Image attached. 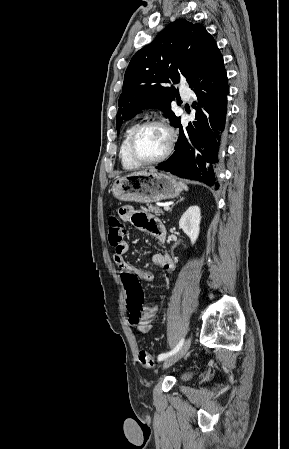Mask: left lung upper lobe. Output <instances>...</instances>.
<instances>
[{
    "mask_svg": "<svg viewBox=\"0 0 289 449\" xmlns=\"http://www.w3.org/2000/svg\"><path fill=\"white\" fill-rule=\"evenodd\" d=\"M216 48L213 37L202 25L183 19L170 23L129 63L116 116L118 131L123 120L146 108L161 110L174 125L180 118L171 110L176 89L169 84L186 78L190 85Z\"/></svg>",
    "mask_w": 289,
    "mask_h": 449,
    "instance_id": "obj_1",
    "label": "left lung upper lobe"
}]
</instances>
